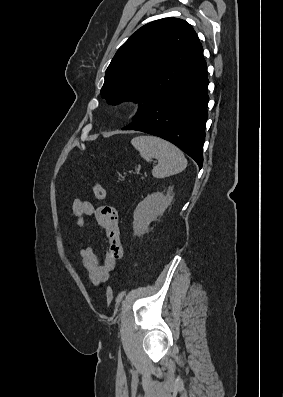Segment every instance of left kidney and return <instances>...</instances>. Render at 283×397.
Masks as SVG:
<instances>
[{"label": "left kidney", "instance_id": "5707ae66", "mask_svg": "<svg viewBox=\"0 0 283 397\" xmlns=\"http://www.w3.org/2000/svg\"><path fill=\"white\" fill-rule=\"evenodd\" d=\"M173 188H169L166 194L156 192L148 195L141 201L133 214L134 234L141 236L147 232L149 224L162 215L173 200Z\"/></svg>", "mask_w": 283, "mask_h": 397}]
</instances>
